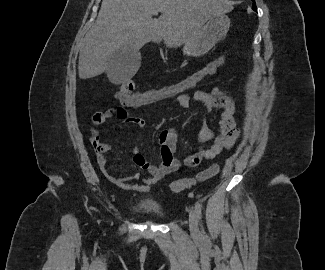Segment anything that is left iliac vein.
I'll use <instances>...</instances> for the list:
<instances>
[{
	"label": "left iliac vein",
	"mask_w": 325,
	"mask_h": 270,
	"mask_svg": "<svg viewBox=\"0 0 325 270\" xmlns=\"http://www.w3.org/2000/svg\"><path fill=\"white\" fill-rule=\"evenodd\" d=\"M189 228L193 235L199 234L197 214L193 209L189 211Z\"/></svg>",
	"instance_id": "left-iliac-vein-1"
}]
</instances>
